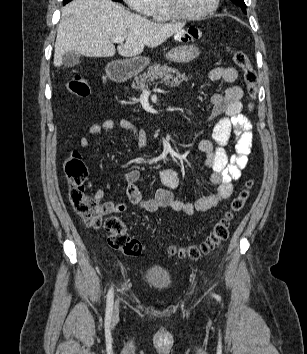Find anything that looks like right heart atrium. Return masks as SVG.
Returning a JSON list of instances; mask_svg holds the SVG:
<instances>
[{"label":"right heart atrium","mask_w":307,"mask_h":354,"mask_svg":"<svg viewBox=\"0 0 307 354\" xmlns=\"http://www.w3.org/2000/svg\"><path fill=\"white\" fill-rule=\"evenodd\" d=\"M131 9L149 16L152 12L156 0H123Z\"/></svg>","instance_id":"right-heart-atrium-1"}]
</instances>
